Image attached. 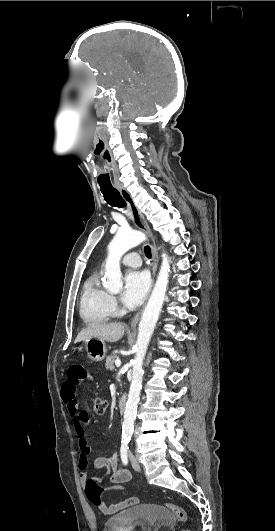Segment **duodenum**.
Listing matches in <instances>:
<instances>
[{"label": "duodenum", "mask_w": 275, "mask_h": 531, "mask_svg": "<svg viewBox=\"0 0 275 531\" xmlns=\"http://www.w3.org/2000/svg\"><path fill=\"white\" fill-rule=\"evenodd\" d=\"M126 404H127V396L123 395L120 397L118 404H117V408L119 412H123L125 410Z\"/></svg>", "instance_id": "duodenum-1"}]
</instances>
